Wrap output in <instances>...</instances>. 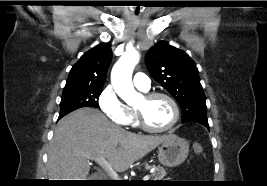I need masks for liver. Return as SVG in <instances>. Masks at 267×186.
I'll use <instances>...</instances> for the list:
<instances>
[{"label": "liver", "instance_id": "obj_1", "mask_svg": "<svg viewBox=\"0 0 267 186\" xmlns=\"http://www.w3.org/2000/svg\"><path fill=\"white\" fill-rule=\"evenodd\" d=\"M168 135H138L107 119L98 109L81 108L57 124L48 151L49 180H86L88 157H104L118 172L155 149Z\"/></svg>", "mask_w": 267, "mask_h": 186}]
</instances>
